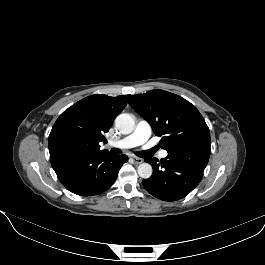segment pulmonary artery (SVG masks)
<instances>
[{"label":"pulmonary artery","mask_w":265,"mask_h":265,"mask_svg":"<svg viewBox=\"0 0 265 265\" xmlns=\"http://www.w3.org/2000/svg\"><path fill=\"white\" fill-rule=\"evenodd\" d=\"M151 134V127L145 121H139L134 132L120 140L111 142L110 144L114 147L121 149H128L135 146L143 145L148 142ZM167 152L162 151L161 157H166Z\"/></svg>","instance_id":"e3ab8cb5"}]
</instances>
